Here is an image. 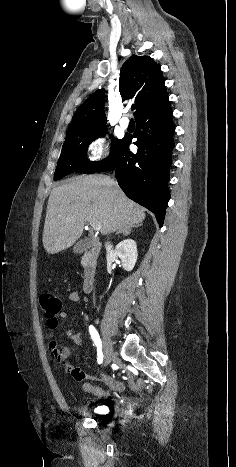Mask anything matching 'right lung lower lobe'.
Here are the masks:
<instances>
[{
    "mask_svg": "<svg viewBox=\"0 0 236 467\" xmlns=\"http://www.w3.org/2000/svg\"><path fill=\"white\" fill-rule=\"evenodd\" d=\"M168 97L136 118L134 143L136 154L129 151L132 137H124L116 153L96 172L116 169V179L124 193L155 214L162 227L170 199L167 188L174 125ZM95 173V172H94Z\"/></svg>",
    "mask_w": 236,
    "mask_h": 467,
    "instance_id": "obj_1",
    "label": "right lung lower lobe"
}]
</instances>
